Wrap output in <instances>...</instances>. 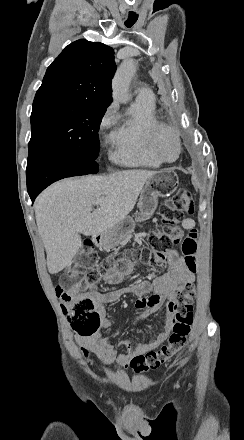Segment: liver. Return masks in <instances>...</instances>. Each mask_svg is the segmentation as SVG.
Segmentation results:
<instances>
[{
	"mask_svg": "<svg viewBox=\"0 0 244 440\" xmlns=\"http://www.w3.org/2000/svg\"><path fill=\"white\" fill-rule=\"evenodd\" d=\"M157 172L125 170L112 176L66 178L49 186L35 204L38 232L47 254L49 274L69 266L82 242L126 220L149 178ZM97 200H103L93 212Z\"/></svg>",
	"mask_w": 244,
	"mask_h": 440,
	"instance_id": "liver-1",
	"label": "liver"
}]
</instances>
